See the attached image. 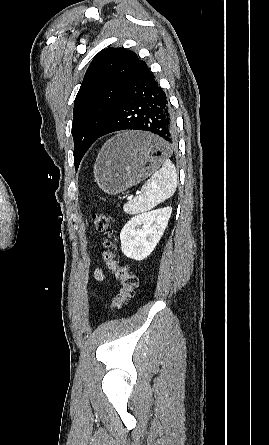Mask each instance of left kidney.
<instances>
[{
    "label": "left kidney",
    "mask_w": 269,
    "mask_h": 445,
    "mask_svg": "<svg viewBox=\"0 0 269 445\" xmlns=\"http://www.w3.org/2000/svg\"><path fill=\"white\" fill-rule=\"evenodd\" d=\"M171 213L172 208L165 207L131 218L120 233L124 255L137 261L147 258L161 239Z\"/></svg>",
    "instance_id": "1"
}]
</instances>
